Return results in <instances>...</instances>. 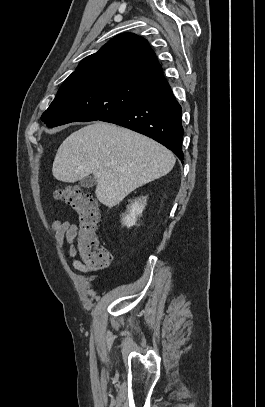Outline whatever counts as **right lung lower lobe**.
I'll return each mask as SVG.
<instances>
[{
  "label": "right lung lower lobe",
  "instance_id": "1",
  "mask_svg": "<svg viewBox=\"0 0 265 407\" xmlns=\"http://www.w3.org/2000/svg\"><path fill=\"white\" fill-rule=\"evenodd\" d=\"M101 121L144 134L170 149L183 163L181 106L167 82L132 107Z\"/></svg>",
  "mask_w": 265,
  "mask_h": 407
}]
</instances>
